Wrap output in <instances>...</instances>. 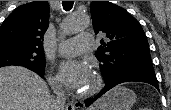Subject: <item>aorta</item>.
Wrapping results in <instances>:
<instances>
[{
	"label": "aorta",
	"mask_w": 171,
	"mask_h": 110,
	"mask_svg": "<svg viewBox=\"0 0 171 110\" xmlns=\"http://www.w3.org/2000/svg\"><path fill=\"white\" fill-rule=\"evenodd\" d=\"M90 25V17L85 14H72L62 23V31L67 34L85 30Z\"/></svg>",
	"instance_id": "obj_1"
}]
</instances>
